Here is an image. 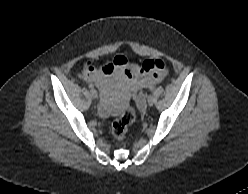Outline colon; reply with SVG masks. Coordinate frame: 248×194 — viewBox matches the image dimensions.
<instances>
[{"instance_id":"1","label":"colon","mask_w":248,"mask_h":194,"mask_svg":"<svg viewBox=\"0 0 248 194\" xmlns=\"http://www.w3.org/2000/svg\"><path fill=\"white\" fill-rule=\"evenodd\" d=\"M164 68V62L161 60L149 61L145 65L146 70H162ZM135 120V110L131 105H127L121 115L114 120L111 126V133L115 140L123 141L127 129L130 124Z\"/></svg>"}]
</instances>
